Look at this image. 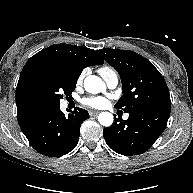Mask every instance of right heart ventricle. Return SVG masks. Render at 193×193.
I'll return each instance as SVG.
<instances>
[{
	"instance_id": "e07e8e85",
	"label": "right heart ventricle",
	"mask_w": 193,
	"mask_h": 193,
	"mask_svg": "<svg viewBox=\"0 0 193 193\" xmlns=\"http://www.w3.org/2000/svg\"><path fill=\"white\" fill-rule=\"evenodd\" d=\"M110 71H113V69H111V68L108 67V66H104V67H101V68L99 69V73H100L101 75H103V74H105V73H107V72H110Z\"/></svg>"
}]
</instances>
